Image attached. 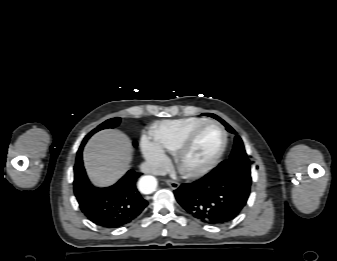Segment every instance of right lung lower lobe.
<instances>
[{
  "label": "right lung lower lobe",
  "instance_id": "right-lung-lower-lobe-1",
  "mask_svg": "<svg viewBox=\"0 0 337 261\" xmlns=\"http://www.w3.org/2000/svg\"><path fill=\"white\" fill-rule=\"evenodd\" d=\"M82 142L74 166V193L81 211L95 224L119 228L136 219L148 202L136 188L141 173L129 170L116 184L107 188L94 187L83 167Z\"/></svg>",
  "mask_w": 337,
  "mask_h": 261
}]
</instances>
